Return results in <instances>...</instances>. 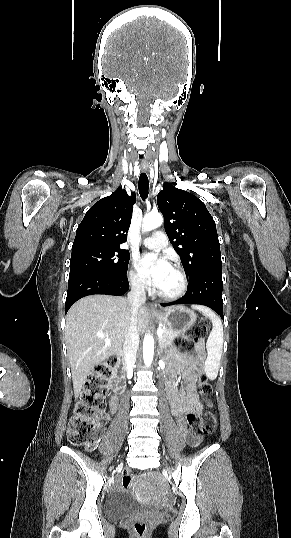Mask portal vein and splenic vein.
<instances>
[{
    "mask_svg": "<svg viewBox=\"0 0 291 538\" xmlns=\"http://www.w3.org/2000/svg\"><path fill=\"white\" fill-rule=\"evenodd\" d=\"M157 335H158V337H161V336L163 335V330H162L161 328H159V329L157 330ZM107 343H109V342H108V338H107Z\"/></svg>",
    "mask_w": 291,
    "mask_h": 538,
    "instance_id": "18ae733b",
    "label": "portal vein and splenic vein"
}]
</instances>
